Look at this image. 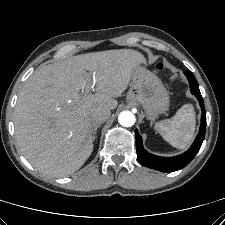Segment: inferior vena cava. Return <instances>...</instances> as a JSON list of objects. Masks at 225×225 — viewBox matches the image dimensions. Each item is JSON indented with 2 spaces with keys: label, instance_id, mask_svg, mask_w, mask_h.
<instances>
[{
  "label": "inferior vena cava",
  "instance_id": "1",
  "mask_svg": "<svg viewBox=\"0 0 225 225\" xmlns=\"http://www.w3.org/2000/svg\"><path fill=\"white\" fill-rule=\"evenodd\" d=\"M111 115V111L105 107H97L91 111V120L93 125L100 124L106 121Z\"/></svg>",
  "mask_w": 225,
  "mask_h": 225
}]
</instances>
